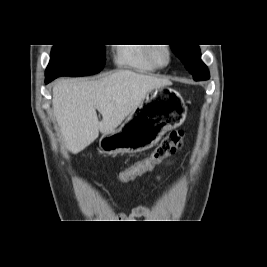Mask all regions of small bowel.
Segmentation results:
<instances>
[{
	"label": "small bowel",
	"instance_id": "c3829d8e",
	"mask_svg": "<svg viewBox=\"0 0 267 267\" xmlns=\"http://www.w3.org/2000/svg\"><path fill=\"white\" fill-rule=\"evenodd\" d=\"M163 175L159 176L158 179H161ZM149 214V211L147 207L140 206L132 210V212L129 215L121 214L120 218H138L143 217Z\"/></svg>",
	"mask_w": 267,
	"mask_h": 267
}]
</instances>
